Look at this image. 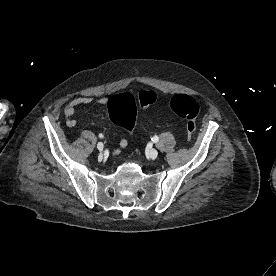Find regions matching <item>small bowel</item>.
<instances>
[{
  "instance_id": "c3829d8e",
  "label": "small bowel",
  "mask_w": 276,
  "mask_h": 276,
  "mask_svg": "<svg viewBox=\"0 0 276 276\" xmlns=\"http://www.w3.org/2000/svg\"><path fill=\"white\" fill-rule=\"evenodd\" d=\"M108 99L106 97H92V96H80L72 99L65 107L64 114L66 117V123L68 126L73 127L76 125V119L74 114L77 109L83 105H106ZM126 139H121L117 145V148L113 151V155H117L127 146Z\"/></svg>"
}]
</instances>
